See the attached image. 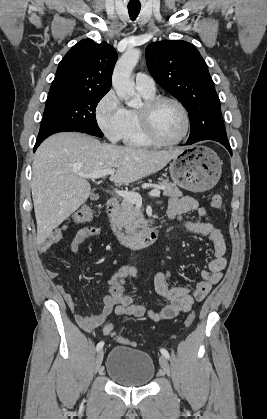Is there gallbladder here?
I'll use <instances>...</instances> for the list:
<instances>
[{
    "mask_svg": "<svg viewBox=\"0 0 267 419\" xmlns=\"http://www.w3.org/2000/svg\"><path fill=\"white\" fill-rule=\"evenodd\" d=\"M91 197L97 199L98 198V195H92Z\"/></svg>",
    "mask_w": 267,
    "mask_h": 419,
    "instance_id": "gallbladder-1",
    "label": "gallbladder"
}]
</instances>
